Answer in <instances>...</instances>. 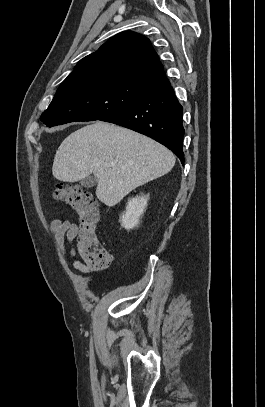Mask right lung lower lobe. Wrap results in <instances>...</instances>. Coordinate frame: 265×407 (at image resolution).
Returning a JSON list of instances; mask_svg holds the SVG:
<instances>
[{"label": "right lung lower lobe", "instance_id": "obj_1", "mask_svg": "<svg viewBox=\"0 0 265 407\" xmlns=\"http://www.w3.org/2000/svg\"><path fill=\"white\" fill-rule=\"evenodd\" d=\"M101 120L153 138L174 152L184 164L182 106L168 81L155 87L137 104Z\"/></svg>", "mask_w": 265, "mask_h": 407}]
</instances>
